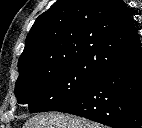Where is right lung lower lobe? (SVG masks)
<instances>
[{
    "label": "right lung lower lobe",
    "instance_id": "1",
    "mask_svg": "<svg viewBox=\"0 0 142 128\" xmlns=\"http://www.w3.org/2000/svg\"><path fill=\"white\" fill-rule=\"evenodd\" d=\"M55 111L113 128H142V56L109 70Z\"/></svg>",
    "mask_w": 142,
    "mask_h": 128
}]
</instances>
